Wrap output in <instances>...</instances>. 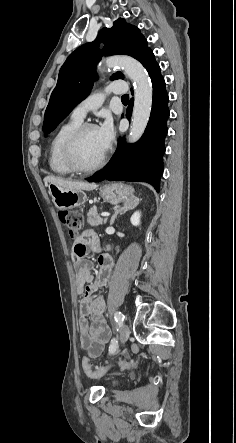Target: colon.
Wrapping results in <instances>:
<instances>
[{
    "instance_id": "5ec220e1",
    "label": "colon",
    "mask_w": 236,
    "mask_h": 443,
    "mask_svg": "<svg viewBox=\"0 0 236 443\" xmlns=\"http://www.w3.org/2000/svg\"><path fill=\"white\" fill-rule=\"evenodd\" d=\"M59 220L67 228L71 236H75L80 233L83 227V217L76 211H60ZM85 254V248L83 246L75 247L72 251V255L75 260L82 258ZM112 367H119L124 370H137L139 366L134 363H128L124 360L107 361L105 364L94 368L90 356H85L83 359V368L85 373L89 377H100L106 373Z\"/></svg>"
}]
</instances>
